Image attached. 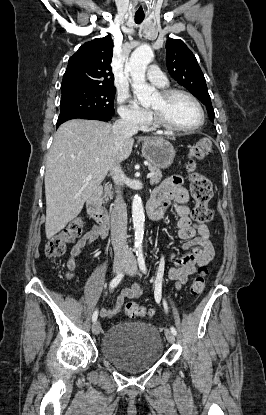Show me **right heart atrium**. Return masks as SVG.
Wrapping results in <instances>:
<instances>
[{
  "mask_svg": "<svg viewBox=\"0 0 266 415\" xmlns=\"http://www.w3.org/2000/svg\"><path fill=\"white\" fill-rule=\"evenodd\" d=\"M118 103V112L122 119L138 127H146L151 122V112L130 103L127 95H120Z\"/></svg>",
  "mask_w": 266,
  "mask_h": 415,
  "instance_id": "1",
  "label": "right heart atrium"
}]
</instances>
